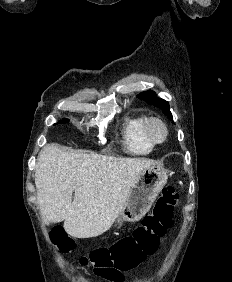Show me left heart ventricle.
Listing matches in <instances>:
<instances>
[{
	"label": "left heart ventricle",
	"mask_w": 232,
	"mask_h": 282,
	"mask_svg": "<svg viewBox=\"0 0 232 282\" xmlns=\"http://www.w3.org/2000/svg\"><path fill=\"white\" fill-rule=\"evenodd\" d=\"M155 132H156V134L159 136V135H161V130H160V128H156L155 129Z\"/></svg>",
	"instance_id": "left-heart-ventricle-1"
}]
</instances>
